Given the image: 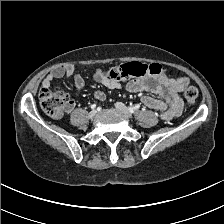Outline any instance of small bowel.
Listing matches in <instances>:
<instances>
[{
    "label": "small bowel",
    "instance_id": "obj_1",
    "mask_svg": "<svg viewBox=\"0 0 224 224\" xmlns=\"http://www.w3.org/2000/svg\"><path fill=\"white\" fill-rule=\"evenodd\" d=\"M65 76L72 77L76 91L79 93L82 92L85 86L84 78L75 72L72 65L61 66L50 72L42 81V89L50 88L51 84L55 80L61 79ZM93 81L109 89H118L123 87L128 92L145 91L159 95L161 99L154 98L150 95H144L141 100L147 107L160 111L161 117L165 120L173 119L181 114L183 102L181 100L180 93L189 84V80L186 77L172 78L167 76L145 77L122 84L117 80L110 79L101 69H97L95 71ZM94 97L100 101L105 100V94L100 90H96L94 92ZM73 108L74 102L70 100L63 113H69Z\"/></svg>",
    "mask_w": 224,
    "mask_h": 224
}]
</instances>
